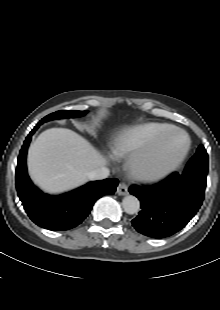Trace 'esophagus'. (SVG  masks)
<instances>
[{"instance_id":"obj_1","label":"esophagus","mask_w":220,"mask_h":310,"mask_svg":"<svg viewBox=\"0 0 220 310\" xmlns=\"http://www.w3.org/2000/svg\"><path fill=\"white\" fill-rule=\"evenodd\" d=\"M116 192L120 196H124V195L128 194V187H127V185L125 183H119Z\"/></svg>"}]
</instances>
